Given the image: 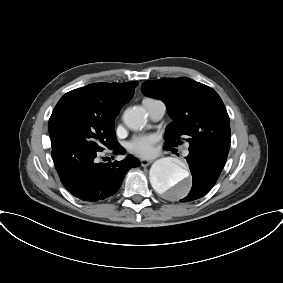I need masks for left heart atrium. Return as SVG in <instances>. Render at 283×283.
I'll list each match as a JSON object with an SVG mask.
<instances>
[{
    "label": "left heart atrium",
    "instance_id": "1",
    "mask_svg": "<svg viewBox=\"0 0 283 283\" xmlns=\"http://www.w3.org/2000/svg\"><path fill=\"white\" fill-rule=\"evenodd\" d=\"M159 138L157 135H145L134 138L128 143L130 152L142 158H150L156 154V143Z\"/></svg>",
    "mask_w": 283,
    "mask_h": 283
}]
</instances>
